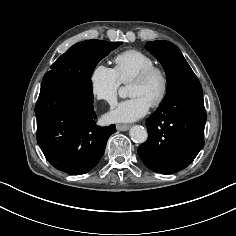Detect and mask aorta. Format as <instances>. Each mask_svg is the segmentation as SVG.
I'll use <instances>...</instances> for the list:
<instances>
[{"label": "aorta", "instance_id": "aorta-1", "mask_svg": "<svg viewBox=\"0 0 236 236\" xmlns=\"http://www.w3.org/2000/svg\"><path fill=\"white\" fill-rule=\"evenodd\" d=\"M118 94L121 98H126L128 96V91L126 87H121L118 91ZM129 135L131 139L137 143H144L148 137L147 130L140 125H135L131 127Z\"/></svg>", "mask_w": 236, "mask_h": 236}]
</instances>
